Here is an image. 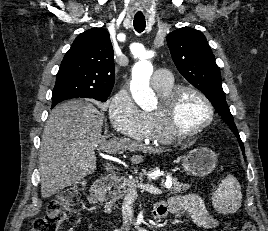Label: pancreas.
Listing matches in <instances>:
<instances>
[{"mask_svg":"<svg viewBox=\"0 0 268 231\" xmlns=\"http://www.w3.org/2000/svg\"><path fill=\"white\" fill-rule=\"evenodd\" d=\"M149 171L142 170L139 176L134 179H123L116 182L114 190L108 193V198L105 203V212L110 214L112 209L117 208L116 202L122 200L132 187V183H138L143 181V177L147 176ZM171 184V186H170ZM162 188L168 189L170 194L180 193L190 188L189 184H182L178 182L176 178L171 176L167 177V183L165 179L160 181Z\"/></svg>","mask_w":268,"mask_h":231,"instance_id":"pancreas-1","label":"pancreas"}]
</instances>
